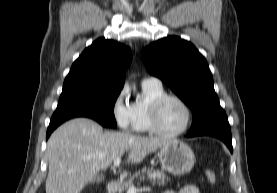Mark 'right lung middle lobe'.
Segmentation results:
<instances>
[{
    "label": "right lung middle lobe",
    "mask_w": 277,
    "mask_h": 193,
    "mask_svg": "<svg viewBox=\"0 0 277 193\" xmlns=\"http://www.w3.org/2000/svg\"><path fill=\"white\" fill-rule=\"evenodd\" d=\"M119 93L120 90L88 87L65 89L62 90L55 113L80 114L115 128L114 105Z\"/></svg>",
    "instance_id": "dd1d6c3e"
}]
</instances>
